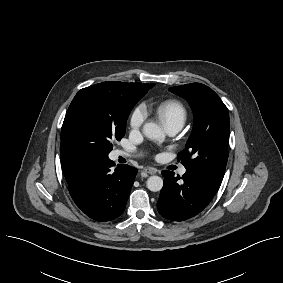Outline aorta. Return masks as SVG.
<instances>
[{"label": "aorta", "mask_w": 283, "mask_h": 283, "mask_svg": "<svg viewBox=\"0 0 283 283\" xmlns=\"http://www.w3.org/2000/svg\"><path fill=\"white\" fill-rule=\"evenodd\" d=\"M143 134L150 140L162 142L165 134L160 126L153 122L145 123L143 126ZM147 188L152 192H158L163 187V180L159 176H151L147 179Z\"/></svg>", "instance_id": "762f6f07"}]
</instances>
